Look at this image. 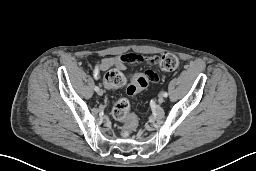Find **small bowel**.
Segmentation results:
<instances>
[{
	"mask_svg": "<svg viewBox=\"0 0 256 171\" xmlns=\"http://www.w3.org/2000/svg\"><path fill=\"white\" fill-rule=\"evenodd\" d=\"M156 58L157 57L153 55H138L133 53L124 54L117 57H107L103 59L102 62L95 68L93 74L95 78L99 79L101 77L100 71H108L112 68L122 70L125 68V64L131 63V62H143L147 64H154L156 61ZM143 74L146 76L148 81H151V82L159 81L158 75L152 70H148Z\"/></svg>",
	"mask_w": 256,
	"mask_h": 171,
	"instance_id": "1",
	"label": "small bowel"
}]
</instances>
